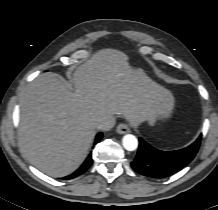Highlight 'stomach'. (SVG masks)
I'll return each mask as SVG.
<instances>
[{
  "mask_svg": "<svg viewBox=\"0 0 218 210\" xmlns=\"http://www.w3.org/2000/svg\"><path fill=\"white\" fill-rule=\"evenodd\" d=\"M159 115L157 110H154L146 119V121L148 122L149 125L153 126L157 119H158Z\"/></svg>",
  "mask_w": 218,
  "mask_h": 210,
  "instance_id": "1",
  "label": "stomach"
}]
</instances>
